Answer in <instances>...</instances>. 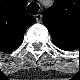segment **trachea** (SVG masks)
<instances>
[{
    "label": "trachea",
    "mask_w": 80,
    "mask_h": 80,
    "mask_svg": "<svg viewBox=\"0 0 80 80\" xmlns=\"http://www.w3.org/2000/svg\"><path fill=\"white\" fill-rule=\"evenodd\" d=\"M27 11L29 14L35 15L39 11V5L36 3H31L27 7Z\"/></svg>",
    "instance_id": "trachea-1"
}]
</instances>
